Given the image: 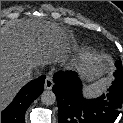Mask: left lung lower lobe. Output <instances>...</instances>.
Returning a JSON list of instances; mask_svg holds the SVG:
<instances>
[{
  "label": "left lung lower lobe",
  "instance_id": "obj_1",
  "mask_svg": "<svg viewBox=\"0 0 123 123\" xmlns=\"http://www.w3.org/2000/svg\"><path fill=\"white\" fill-rule=\"evenodd\" d=\"M114 77L107 95L85 99L82 95V83L75 72L55 73L52 90L57 98L58 122L113 123L123 102V78Z\"/></svg>",
  "mask_w": 123,
  "mask_h": 123
}]
</instances>
